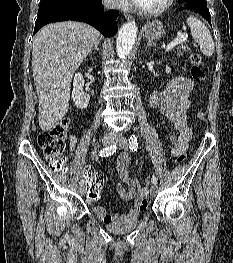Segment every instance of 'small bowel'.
Instances as JSON below:
<instances>
[{
    "label": "small bowel",
    "mask_w": 233,
    "mask_h": 263,
    "mask_svg": "<svg viewBox=\"0 0 233 263\" xmlns=\"http://www.w3.org/2000/svg\"><path fill=\"white\" fill-rule=\"evenodd\" d=\"M194 86V82L186 77L177 76L170 80L166 86L160 90H155L150 96V106L159 111L173 125L174 133L170 135L172 143V156L176 157L181 152H186L192 138V130L188 125L187 112L190 107L189 94ZM78 142V136H70V150H73ZM116 169L123 183L116 187L119 198L122 201L134 200L131 213H138L146 207V197L148 189L139 184L132 175L129 156L121 153L116 160ZM85 171H93L87 168ZM100 175V174H97ZM89 203L90 199H88ZM93 212L98 219L104 223H111L119 218L117 214H109L104 207L93 206Z\"/></svg>",
    "instance_id": "obj_1"
}]
</instances>
